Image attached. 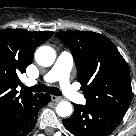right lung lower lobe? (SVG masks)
<instances>
[{
	"label": "right lung lower lobe",
	"instance_id": "1",
	"mask_svg": "<svg viewBox=\"0 0 136 136\" xmlns=\"http://www.w3.org/2000/svg\"><path fill=\"white\" fill-rule=\"evenodd\" d=\"M50 100L49 94H36L18 115L0 123V136H26L36 123L38 111Z\"/></svg>",
	"mask_w": 136,
	"mask_h": 136
}]
</instances>
